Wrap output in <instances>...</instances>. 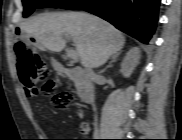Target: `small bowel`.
<instances>
[{
	"instance_id": "1",
	"label": "small bowel",
	"mask_w": 182,
	"mask_h": 140,
	"mask_svg": "<svg viewBox=\"0 0 182 140\" xmlns=\"http://www.w3.org/2000/svg\"><path fill=\"white\" fill-rule=\"evenodd\" d=\"M80 131L83 136H86L89 133V126L87 124L83 123L81 125Z\"/></svg>"
}]
</instances>
